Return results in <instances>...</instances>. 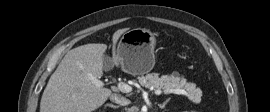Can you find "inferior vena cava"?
<instances>
[{
	"instance_id": "obj_1",
	"label": "inferior vena cava",
	"mask_w": 270,
	"mask_h": 112,
	"mask_svg": "<svg viewBox=\"0 0 270 112\" xmlns=\"http://www.w3.org/2000/svg\"><path fill=\"white\" fill-rule=\"evenodd\" d=\"M110 100L114 103H117L119 105H122V106H126L128 104H130V100L121 96V95H117V94H112L110 96Z\"/></svg>"
}]
</instances>
